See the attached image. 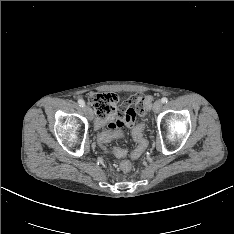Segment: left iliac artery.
Here are the masks:
<instances>
[{
	"mask_svg": "<svg viewBox=\"0 0 234 234\" xmlns=\"http://www.w3.org/2000/svg\"><path fill=\"white\" fill-rule=\"evenodd\" d=\"M167 101H168V99H167L166 97H163V98L161 99V102H162V103H167Z\"/></svg>",
	"mask_w": 234,
	"mask_h": 234,
	"instance_id": "44dca946",
	"label": "left iliac artery"
}]
</instances>
